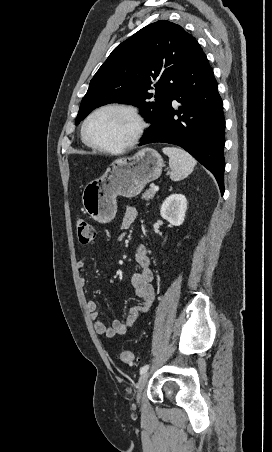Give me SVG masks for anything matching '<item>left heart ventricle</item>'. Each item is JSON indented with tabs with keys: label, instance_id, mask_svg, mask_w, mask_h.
Instances as JSON below:
<instances>
[{
	"label": "left heart ventricle",
	"instance_id": "b2bd125f",
	"mask_svg": "<svg viewBox=\"0 0 272 452\" xmlns=\"http://www.w3.org/2000/svg\"><path fill=\"white\" fill-rule=\"evenodd\" d=\"M135 122L126 112L106 110L94 116L88 125L90 138L102 145L117 147L127 142Z\"/></svg>",
	"mask_w": 272,
	"mask_h": 452
}]
</instances>
